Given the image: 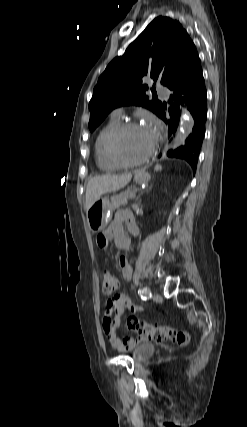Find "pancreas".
<instances>
[{"instance_id": "cf45deb5", "label": "pancreas", "mask_w": 247, "mask_h": 427, "mask_svg": "<svg viewBox=\"0 0 247 427\" xmlns=\"http://www.w3.org/2000/svg\"><path fill=\"white\" fill-rule=\"evenodd\" d=\"M133 193L132 190H127L125 192H122L119 195H115L111 198V205L113 209H117L121 206H124L128 203V199L130 198V195Z\"/></svg>"}]
</instances>
